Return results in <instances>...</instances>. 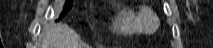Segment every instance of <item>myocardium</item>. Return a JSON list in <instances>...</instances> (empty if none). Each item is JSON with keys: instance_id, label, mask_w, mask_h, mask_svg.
Returning a JSON list of instances; mask_svg holds the SVG:
<instances>
[{"instance_id": "obj_1", "label": "myocardium", "mask_w": 213, "mask_h": 48, "mask_svg": "<svg viewBox=\"0 0 213 48\" xmlns=\"http://www.w3.org/2000/svg\"><path fill=\"white\" fill-rule=\"evenodd\" d=\"M139 22L145 33H153L159 26L156 14L149 8L142 9L139 14Z\"/></svg>"}]
</instances>
